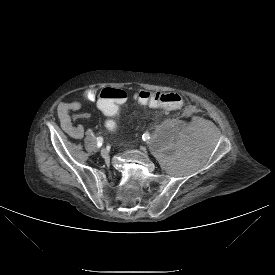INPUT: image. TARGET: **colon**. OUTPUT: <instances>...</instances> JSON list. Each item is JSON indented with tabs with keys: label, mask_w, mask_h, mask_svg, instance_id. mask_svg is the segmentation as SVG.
Listing matches in <instances>:
<instances>
[{
	"label": "colon",
	"mask_w": 275,
	"mask_h": 275,
	"mask_svg": "<svg viewBox=\"0 0 275 275\" xmlns=\"http://www.w3.org/2000/svg\"><path fill=\"white\" fill-rule=\"evenodd\" d=\"M127 99V92L122 89L106 88L100 94L97 101L98 111L107 117L114 116L118 111V104H122ZM136 99L140 104L152 108H159L165 112H170L182 106L184 98L177 93H161L152 91H139Z\"/></svg>",
	"instance_id": "5ec220e1"
}]
</instances>
